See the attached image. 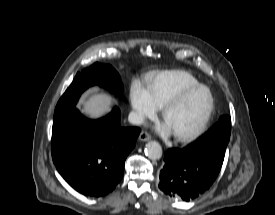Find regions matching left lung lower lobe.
Masks as SVG:
<instances>
[{
	"label": "left lung lower lobe",
	"instance_id": "0a47b994",
	"mask_svg": "<svg viewBox=\"0 0 275 215\" xmlns=\"http://www.w3.org/2000/svg\"><path fill=\"white\" fill-rule=\"evenodd\" d=\"M160 171L159 188L171 198L190 201L203 194L217 178L222 164L195 154L190 147L169 149Z\"/></svg>",
	"mask_w": 275,
	"mask_h": 215
}]
</instances>
